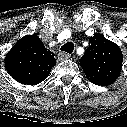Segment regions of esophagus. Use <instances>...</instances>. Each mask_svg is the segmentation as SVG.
Masks as SVG:
<instances>
[{
    "label": "esophagus",
    "mask_w": 127,
    "mask_h": 127,
    "mask_svg": "<svg viewBox=\"0 0 127 127\" xmlns=\"http://www.w3.org/2000/svg\"><path fill=\"white\" fill-rule=\"evenodd\" d=\"M71 58V55L66 53V52H60L58 54V59L63 61V60H67V59H70Z\"/></svg>",
    "instance_id": "obj_1"
}]
</instances>
